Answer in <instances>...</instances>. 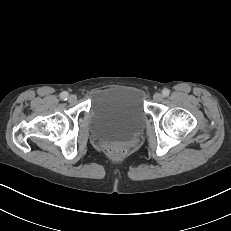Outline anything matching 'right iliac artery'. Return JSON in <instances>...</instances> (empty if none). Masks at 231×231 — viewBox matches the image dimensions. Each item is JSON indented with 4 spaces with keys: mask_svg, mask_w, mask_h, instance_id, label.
<instances>
[{
    "mask_svg": "<svg viewBox=\"0 0 231 231\" xmlns=\"http://www.w3.org/2000/svg\"><path fill=\"white\" fill-rule=\"evenodd\" d=\"M60 98L62 99V100H67L68 99V93L67 92H62L61 94H60Z\"/></svg>",
    "mask_w": 231,
    "mask_h": 231,
    "instance_id": "obj_1",
    "label": "right iliac artery"
}]
</instances>
